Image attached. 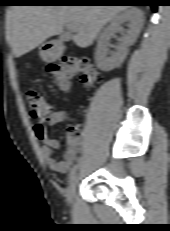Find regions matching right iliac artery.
Masks as SVG:
<instances>
[{
    "label": "right iliac artery",
    "mask_w": 170,
    "mask_h": 231,
    "mask_svg": "<svg viewBox=\"0 0 170 231\" xmlns=\"http://www.w3.org/2000/svg\"><path fill=\"white\" fill-rule=\"evenodd\" d=\"M79 165L76 164L69 173V179H72L78 170Z\"/></svg>",
    "instance_id": "82829eb1"
}]
</instances>
